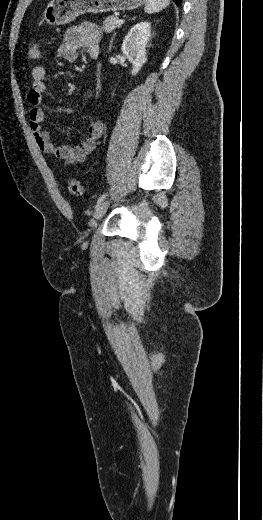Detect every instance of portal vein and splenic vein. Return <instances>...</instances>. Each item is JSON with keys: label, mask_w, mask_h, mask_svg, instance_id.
Segmentation results:
<instances>
[{"label": "portal vein and splenic vein", "mask_w": 263, "mask_h": 520, "mask_svg": "<svg viewBox=\"0 0 263 520\" xmlns=\"http://www.w3.org/2000/svg\"><path fill=\"white\" fill-rule=\"evenodd\" d=\"M117 23H118V24H123V23H124V20H123V19H118V20H117Z\"/></svg>", "instance_id": "obj_1"}]
</instances>
